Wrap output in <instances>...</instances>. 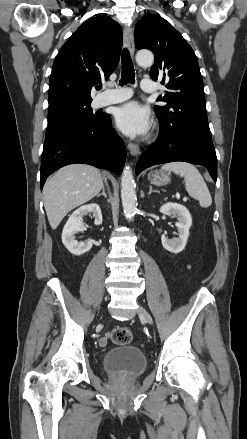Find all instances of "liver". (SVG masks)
<instances>
[{
	"label": "liver",
	"mask_w": 247,
	"mask_h": 439,
	"mask_svg": "<svg viewBox=\"0 0 247 439\" xmlns=\"http://www.w3.org/2000/svg\"><path fill=\"white\" fill-rule=\"evenodd\" d=\"M102 187V175L91 165L71 164L59 169L43 188L51 228L55 230L69 211L90 201Z\"/></svg>",
	"instance_id": "liver-1"
}]
</instances>
